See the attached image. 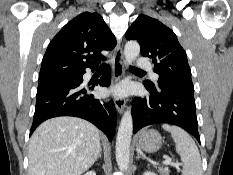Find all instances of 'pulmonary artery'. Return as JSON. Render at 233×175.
<instances>
[{"label": "pulmonary artery", "mask_w": 233, "mask_h": 175, "mask_svg": "<svg viewBox=\"0 0 233 175\" xmlns=\"http://www.w3.org/2000/svg\"><path fill=\"white\" fill-rule=\"evenodd\" d=\"M137 67L140 68V69H145V70L152 71L151 63L148 60H145V59H138L137 60ZM153 78L155 80H157L158 75L156 73H153Z\"/></svg>", "instance_id": "1"}]
</instances>
